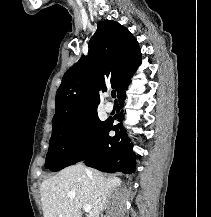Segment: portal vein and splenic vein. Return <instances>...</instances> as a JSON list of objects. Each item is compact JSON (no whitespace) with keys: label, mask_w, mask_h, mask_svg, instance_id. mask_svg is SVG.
<instances>
[{"label":"portal vein and splenic vein","mask_w":211,"mask_h":217,"mask_svg":"<svg viewBox=\"0 0 211 217\" xmlns=\"http://www.w3.org/2000/svg\"><path fill=\"white\" fill-rule=\"evenodd\" d=\"M90 206L89 205H85V206H83V210L85 211V212H89L90 211Z\"/></svg>","instance_id":"18ae733b"}]
</instances>
